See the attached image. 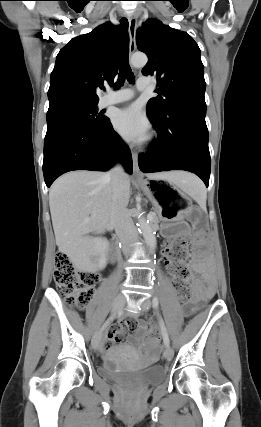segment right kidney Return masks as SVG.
<instances>
[{
  "instance_id": "obj_1",
  "label": "right kidney",
  "mask_w": 261,
  "mask_h": 427,
  "mask_svg": "<svg viewBox=\"0 0 261 427\" xmlns=\"http://www.w3.org/2000/svg\"><path fill=\"white\" fill-rule=\"evenodd\" d=\"M94 242H95V249H96L95 255L97 256L96 267L99 270H103L107 265L108 242L106 239H102V238H99V239L97 238L94 240Z\"/></svg>"
}]
</instances>
